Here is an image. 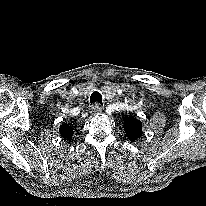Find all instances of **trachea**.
I'll return each instance as SVG.
<instances>
[{
    "mask_svg": "<svg viewBox=\"0 0 206 206\" xmlns=\"http://www.w3.org/2000/svg\"><path fill=\"white\" fill-rule=\"evenodd\" d=\"M90 103H91V104L97 103V104L102 105V95H101V93H99L98 91H94V92L91 94Z\"/></svg>",
    "mask_w": 206,
    "mask_h": 206,
    "instance_id": "trachea-1",
    "label": "trachea"
}]
</instances>
